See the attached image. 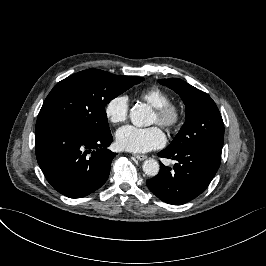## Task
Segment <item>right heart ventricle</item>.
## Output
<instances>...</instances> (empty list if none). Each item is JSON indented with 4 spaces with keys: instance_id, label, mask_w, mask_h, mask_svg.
Returning a JSON list of instances; mask_svg holds the SVG:
<instances>
[{
    "instance_id": "obj_1",
    "label": "right heart ventricle",
    "mask_w": 266,
    "mask_h": 266,
    "mask_svg": "<svg viewBox=\"0 0 266 266\" xmlns=\"http://www.w3.org/2000/svg\"><path fill=\"white\" fill-rule=\"evenodd\" d=\"M139 97L148 102L154 108L164 106L171 102L170 94L162 88L153 86L143 89Z\"/></svg>"
}]
</instances>
